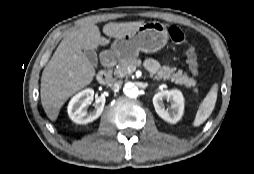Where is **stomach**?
<instances>
[{"instance_id":"1","label":"stomach","mask_w":254,"mask_h":174,"mask_svg":"<svg viewBox=\"0 0 254 174\" xmlns=\"http://www.w3.org/2000/svg\"><path fill=\"white\" fill-rule=\"evenodd\" d=\"M168 41L166 26L160 22H148L133 33L117 38L108 53L118 60L136 58L140 51L154 53Z\"/></svg>"}]
</instances>
